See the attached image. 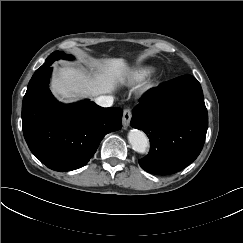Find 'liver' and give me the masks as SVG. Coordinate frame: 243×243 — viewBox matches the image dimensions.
<instances>
[{
    "label": "liver",
    "mask_w": 243,
    "mask_h": 243,
    "mask_svg": "<svg viewBox=\"0 0 243 243\" xmlns=\"http://www.w3.org/2000/svg\"><path fill=\"white\" fill-rule=\"evenodd\" d=\"M91 71L83 68L63 67L53 75L51 89L65 102L83 98H95L113 93L128 77L130 68L122 58L93 59Z\"/></svg>",
    "instance_id": "6515ba94"
}]
</instances>
